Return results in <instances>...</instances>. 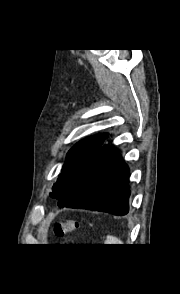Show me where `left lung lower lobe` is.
I'll return each mask as SVG.
<instances>
[{
  "label": "left lung lower lobe",
  "instance_id": "obj_1",
  "mask_svg": "<svg viewBox=\"0 0 180 294\" xmlns=\"http://www.w3.org/2000/svg\"><path fill=\"white\" fill-rule=\"evenodd\" d=\"M128 177L129 169L116 149L103 145L58 206L125 215L129 209Z\"/></svg>",
  "mask_w": 180,
  "mask_h": 294
}]
</instances>
